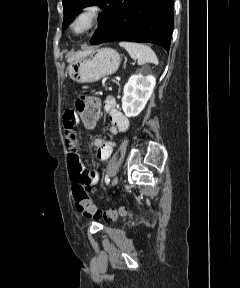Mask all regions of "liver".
Segmentation results:
<instances>
[{"mask_svg":"<svg viewBox=\"0 0 240 288\" xmlns=\"http://www.w3.org/2000/svg\"><path fill=\"white\" fill-rule=\"evenodd\" d=\"M84 53H85V52L79 51V52L75 53V54L72 56V58L77 57V56H80V55H82V54H84ZM72 58H70V59H72Z\"/></svg>","mask_w":240,"mask_h":288,"instance_id":"6515ba94","label":"liver"}]
</instances>
